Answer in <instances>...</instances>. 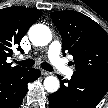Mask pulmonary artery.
Masks as SVG:
<instances>
[{
    "mask_svg": "<svg viewBox=\"0 0 108 108\" xmlns=\"http://www.w3.org/2000/svg\"><path fill=\"white\" fill-rule=\"evenodd\" d=\"M61 44L58 41H53L48 49V57L51 63L60 72L68 77H71L74 73L73 69L69 68L65 61L60 56Z\"/></svg>",
    "mask_w": 108,
    "mask_h": 108,
    "instance_id": "pulmonary-artery-1",
    "label": "pulmonary artery"
}]
</instances>
